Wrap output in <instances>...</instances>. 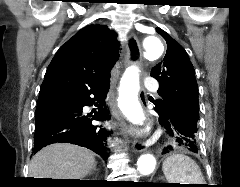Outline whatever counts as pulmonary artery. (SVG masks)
I'll use <instances>...</instances> for the list:
<instances>
[{
  "mask_svg": "<svg viewBox=\"0 0 240 187\" xmlns=\"http://www.w3.org/2000/svg\"><path fill=\"white\" fill-rule=\"evenodd\" d=\"M145 86L150 91H157L159 87L157 81L150 77L145 80Z\"/></svg>",
  "mask_w": 240,
  "mask_h": 187,
  "instance_id": "pulmonary-artery-1",
  "label": "pulmonary artery"
}]
</instances>
